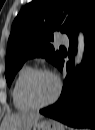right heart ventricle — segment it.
I'll use <instances>...</instances> for the list:
<instances>
[{"mask_svg": "<svg viewBox=\"0 0 95 130\" xmlns=\"http://www.w3.org/2000/svg\"><path fill=\"white\" fill-rule=\"evenodd\" d=\"M30 71H31V68L27 65H24L19 69L15 78L14 84H13L12 92H11L12 101L15 108L23 112H27L32 109L23 101L22 96H21L22 83Z\"/></svg>", "mask_w": 95, "mask_h": 130, "instance_id": "obj_1", "label": "right heart ventricle"}]
</instances>
